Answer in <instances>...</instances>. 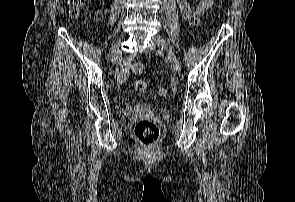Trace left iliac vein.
<instances>
[{
    "label": "left iliac vein",
    "instance_id": "obj_1",
    "mask_svg": "<svg viewBox=\"0 0 295 202\" xmlns=\"http://www.w3.org/2000/svg\"><path fill=\"white\" fill-rule=\"evenodd\" d=\"M153 41L156 43L157 46H160L167 51L172 68L179 73L181 71V65L170 44L160 35L154 36Z\"/></svg>",
    "mask_w": 295,
    "mask_h": 202
}]
</instances>
